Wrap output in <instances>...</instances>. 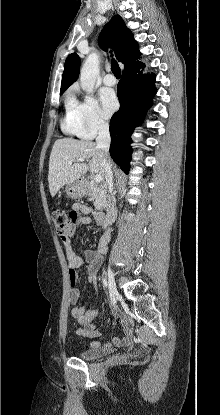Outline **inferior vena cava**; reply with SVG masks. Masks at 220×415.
I'll use <instances>...</instances> for the list:
<instances>
[{
    "label": "inferior vena cava",
    "instance_id": "inferior-vena-cava-1",
    "mask_svg": "<svg viewBox=\"0 0 220 415\" xmlns=\"http://www.w3.org/2000/svg\"><path fill=\"white\" fill-rule=\"evenodd\" d=\"M96 144L99 149L102 150L103 153V167H104V177L106 179V183L109 190L108 195V216L107 222L112 223L113 218V211L115 208V197L113 194V172L112 166L108 161V154H109V146H110V133H109V125L108 123L101 122L99 124V131L98 136L96 138Z\"/></svg>",
    "mask_w": 220,
    "mask_h": 415
}]
</instances>
